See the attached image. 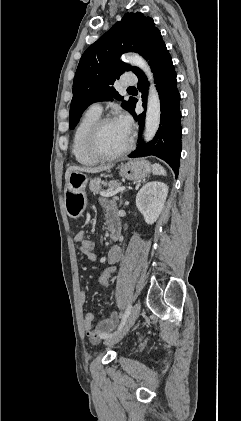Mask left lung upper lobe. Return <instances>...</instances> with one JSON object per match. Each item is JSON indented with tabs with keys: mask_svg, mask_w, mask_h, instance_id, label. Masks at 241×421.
Masks as SVG:
<instances>
[{
	"mask_svg": "<svg viewBox=\"0 0 241 421\" xmlns=\"http://www.w3.org/2000/svg\"><path fill=\"white\" fill-rule=\"evenodd\" d=\"M160 31L154 21L142 13H126L108 32L93 43L82 55L73 82V98L70 108V128H74L93 102L123 100L115 91L114 81L125 71L136 73L139 68L121 62L119 56L135 51L145 58L154 37ZM135 98L123 101L122 106L130 113Z\"/></svg>",
	"mask_w": 241,
	"mask_h": 421,
	"instance_id": "obj_1",
	"label": "left lung upper lobe"
}]
</instances>
